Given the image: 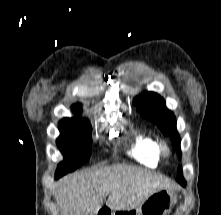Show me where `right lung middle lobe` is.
<instances>
[{"label": "right lung middle lobe", "mask_w": 221, "mask_h": 215, "mask_svg": "<svg viewBox=\"0 0 221 215\" xmlns=\"http://www.w3.org/2000/svg\"><path fill=\"white\" fill-rule=\"evenodd\" d=\"M75 113L80 112L81 106L72 107ZM60 137L57 146L65 157V161L58 165L56 178L86 163L91 155V126L88 119L79 117L64 118L59 122Z\"/></svg>", "instance_id": "dd1d6c3e"}]
</instances>
